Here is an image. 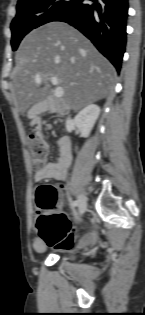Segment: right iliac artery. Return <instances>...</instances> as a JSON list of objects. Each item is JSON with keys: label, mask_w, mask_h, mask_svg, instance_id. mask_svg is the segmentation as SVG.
I'll use <instances>...</instances> for the list:
<instances>
[{"label": "right iliac artery", "mask_w": 145, "mask_h": 315, "mask_svg": "<svg viewBox=\"0 0 145 315\" xmlns=\"http://www.w3.org/2000/svg\"><path fill=\"white\" fill-rule=\"evenodd\" d=\"M78 206V201L74 200L71 202V208L74 210Z\"/></svg>", "instance_id": "right-iliac-artery-1"}]
</instances>
